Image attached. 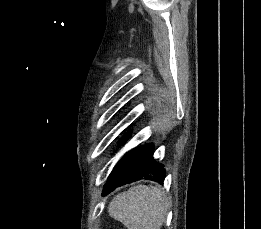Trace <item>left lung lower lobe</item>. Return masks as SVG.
<instances>
[{
  "label": "left lung lower lobe",
  "instance_id": "0a47b994",
  "mask_svg": "<svg viewBox=\"0 0 261 229\" xmlns=\"http://www.w3.org/2000/svg\"><path fill=\"white\" fill-rule=\"evenodd\" d=\"M130 136L127 132L118 142L123 144ZM153 145L147 144L126 153L116 164L103 189V195L116 187L137 181L138 178L162 183L166 171L163 165L153 159Z\"/></svg>",
  "mask_w": 261,
  "mask_h": 229
}]
</instances>
